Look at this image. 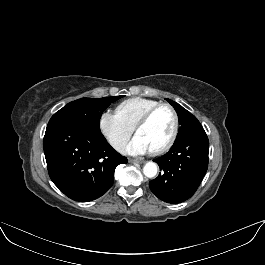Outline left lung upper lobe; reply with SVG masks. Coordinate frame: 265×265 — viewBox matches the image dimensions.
I'll list each match as a JSON object with an SVG mask.
<instances>
[{"label": "left lung upper lobe", "mask_w": 265, "mask_h": 265, "mask_svg": "<svg viewBox=\"0 0 265 265\" xmlns=\"http://www.w3.org/2000/svg\"><path fill=\"white\" fill-rule=\"evenodd\" d=\"M166 100L174 107L175 111L177 112L180 124L175 141L204 130L198 119L194 115H192L189 111L184 109L180 104L170 99Z\"/></svg>", "instance_id": "obj_1"}]
</instances>
